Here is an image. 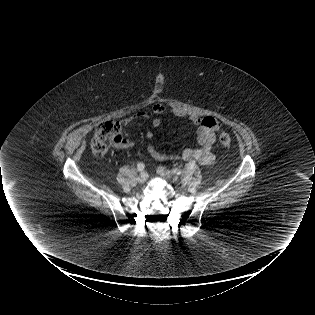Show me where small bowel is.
I'll return each mask as SVG.
<instances>
[{
    "instance_id": "c3829d8e",
    "label": "small bowel",
    "mask_w": 315,
    "mask_h": 315,
    "mask_svg": "<svg viewBox=\"0 0 315 315\" xmlns=\"http://www.w3.org/2000/svg\"><path fill=\"white\" fill-rule=\"evenodd\" d=\"M168 111L166 106L160 103L153 105L151 112L139 111L132 116L120 121L121 126L140 120L148 119L151 121L152 128H158L161 125L160 115ZM171 112L177 117H186L187 114L179 109H173ZM190 121L196 126L198 147L186 148L181 154H167L159 151L154 145L149 144L147 151L149 155L158 162H163L169 159H182L185 161H195L203 165H210L215 160V155L212 151L216 142V133L220 129V123L213 117H198L196 115L189 116ZM147 139L151 140L154 137L152 131L146 133ZM133 143L129 140H124L118 146L121 148L131 147Z\"/></svg>"
}]
</instances>
